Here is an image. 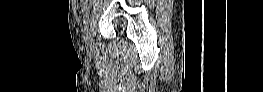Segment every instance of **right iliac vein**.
<instances>
[{
    "mask_svg": "<svg viewBox=\"0 0 263 92\" xmlns=\"http://www.w3.org/2000/svg\"><path fill=\"white\" fill-rule=\"evenodd\" d=\"M93 43L92 37L90 33H87L86 37H85V44L87 47H91Z\"/></svg>",
    "mask_w": 263,
    "mask_h": 92,
    "instance_id": "1",
    "label": "right iliac vein"
}]
</instances>
